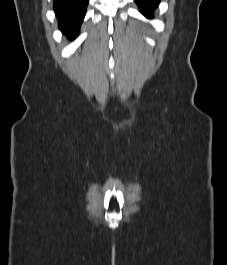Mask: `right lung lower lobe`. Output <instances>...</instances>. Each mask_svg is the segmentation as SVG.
<instances>
[{
    "label": "right lung lower lobe",
    "mask_w": 227,
    "mask_h": 265,
    "mask_svg": "<svg viewBox=\"0 0 227 265\" xmlns=\"http://www.w3.org/2000/svg\"><path fill=\"white\" fill-rule=\"evenodd\" d=\"M88 2L89 0H54V11L60 29L71 39L78 34Z\"/></svg>",
    "instance_id": "1"
}]
</instances>
